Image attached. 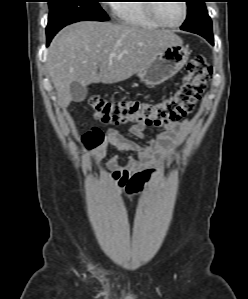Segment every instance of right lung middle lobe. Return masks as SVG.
<instances>
[{
    "mask_svg": "<svg viewBox=\"0 0 248 299\" xmlns=\"http://www.w3.org/2000/svg\"><path fill=\"white\" fill-rule=\"evenodd\" d=\"M99 0H49L47 42L64 26L83 20L107 21Z\"/></svg>",
    "mask_w": 248,
    "mask_h": 299,
    "instance_id": "obj_1",
    "label": "right lung middle lobe"
}]
</instances>
